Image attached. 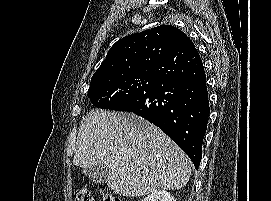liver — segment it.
Masks as SVG:
<instances>
[{
  "instance_id": "6515ba94",
  "label": "liver",
  "mask_w": 271,
  "mask_h": 201,
  "mask_svg": "<svg viewBox=\"0 0 271 201\" xmlns=\"http://www.w3.org/2000/svg\"><path fill=\"white\" fill-rule=\"evenodd\" d=\"M104 163L108 187L140 197L184 187L191 175L187 155L158 127L132 114L92 110L82 120L73 164Z\"/></svg>"
}]
</instances>
